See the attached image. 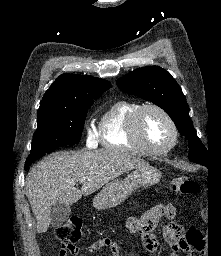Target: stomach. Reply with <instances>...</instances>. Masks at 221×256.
Here are the masks:
<instances>
[{"label": "stomach", "mask_w": 221, "mask_h": 256, "mask_svg": "<svg viewBox=\"0 0 221 256\" xmlns=\"http://www.w3.org/2000/svg\"><path fill=\"white\" fill-rule=\"evenodd\" d=\"M161 176L160 170L155 167L149 165L139 167L123 180L106 184L94 197L93 206L98 210L117 206L137 188L157 184Z\"/></svg>", "instance_id": "0dacf381"}]
</instances>
